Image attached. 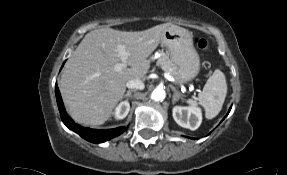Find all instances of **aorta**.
<instances>
[{"instance_id": "aorta-1", "label": "aorta", "mask_w": 287, "mask_h": 175, "mask_svg": "<svg viewBox=\"0 0 287 175\" xmlns=\"http://www.w3.org/2000/svg\"><path fill=\"white\" fill-rule=\"evenodd\" d=\"M166 97V92L163 88L157 87L151 93V99L154 101H162Z\"/></svg>"}]
</instances>
